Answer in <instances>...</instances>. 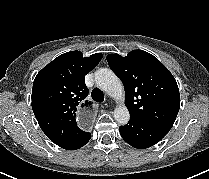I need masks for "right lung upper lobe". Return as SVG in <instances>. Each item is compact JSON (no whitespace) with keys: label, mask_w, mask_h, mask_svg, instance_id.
Segmentation results:
<instances>
[{"label":"right lung upper lobe","mask_w":209,"mask_h":179,"mask_svg":"<svg viewBox=\"0 0 209 179\" xmlns=\"http://www.w3.org/2000/svg\"><path fill=\"white\" fill-rule=\"evenodd\" d=\"M101 59L100 53L83 57L80 51H70L58 56L37 74L32 89V109L42 131L55 144L81 130L75 112L78 106L89 109L92 104L85 99L89 91L84 76Z\"/></svg>","instance_id":"obj_1"}]
</instances>
